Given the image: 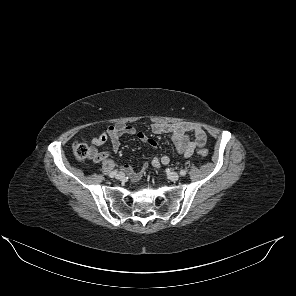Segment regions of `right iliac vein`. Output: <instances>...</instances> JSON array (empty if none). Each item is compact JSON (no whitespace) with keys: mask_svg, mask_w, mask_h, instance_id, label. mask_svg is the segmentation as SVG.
I'll list each match as a JSON object with an SVG mask.
<instances>
[{"mask_svg":"<svg viewBox=\"0 0 296 296\" xmlns=\"http://www.w3.org/2000/svg\"><path fill=\"white\" fill-rule=\"evenodd\" d=\"M124 177H125V175H124V173H122V172H119V173L116 175V179H117V180H122Z\"/></svg>","mask_w":296,"mask_h":296,"instance_id":"obj_1","label":"right iliac vein"}]
</instances>
